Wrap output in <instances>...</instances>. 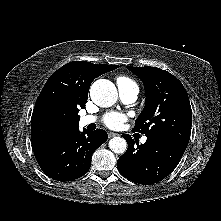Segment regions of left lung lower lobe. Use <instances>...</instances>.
I'll list each match as a JSON object with an SVG mask.
<instances>
[{
	"label": "left lung lower lobe",
	"instance_id": "0a47b994",
	"mask_svg": "<svg viewBox=\"0 0 221 221\" xmlns=\"http://www.w3.org/2000/svg\"><path fill=\"white\" fill-rule=\"evenodd\" d=\"M122 136L128 149L118 159L117 168L122 176L135 183L151 185L162 180L173 171L185 152L161 139L147 137L146 142L139 145L130 135Z\"/></svg>",
	"mask_w": 221,
	"mask_h": 221
}]
</instances>
